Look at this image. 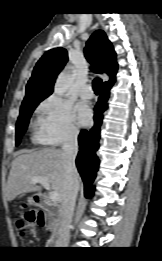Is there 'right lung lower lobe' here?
Here are the masks:
<instances>
[{"instance_id": "98d812e1", "label": "right lung lower lobe", "mask_w": 162, "mask_h": 261, "mask_svg": "<svg viewBox=\"0 0 162 261\" xmlns=\"http://www.w3.org/2000/svg\"><path fill=\"white\" fill-rule=\"evenodd\" d=\"M111 87H102V92L94 108V126L90 130H82L79 135V153L76 166L84 182V192L87 198L94 193L93 181L99 167V159L96 151L99 148L100 126L102 124L103 112L107 109V100Z\"/></svg>"}]
</instances>
